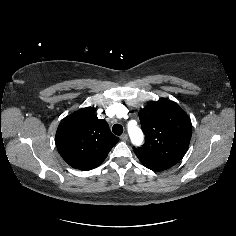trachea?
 Wrapping results in <instances>:
<instances>
[{
	"instance_id": "3493384b",
	"label": "trachea",
	"mask_w": 236,
	"mask_h": 236,
	"mask_svg": "<svg viewBox=\"0 0 236 236\" xmlns=\"http://www.w3.org/2000/svg\"><path fill=\"white\" fill-rule=\"evenodd\" d=\"M112 131L115 135L120 136L123 133V127L120 124H114L112 127Z\"/></svg>"
}]
</instances>
